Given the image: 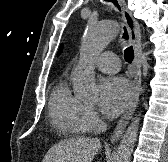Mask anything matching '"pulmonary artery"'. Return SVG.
I'll return each instance as SVG.
<instances>
[{
  "label": "pulmonary artery",
  "instance_id": "pulmonary-artery-1",
  "mask_svg": "<svg viewBox=\"0 0 168 162\" xmlns=\"http://www.w3.org/2000/svg\"><path fill=\"white\" fill-rule=\"evenodd\" d=\"M94 65L104 73H116L120 69V61L113 52H103L95 57Z\"/></svg>",
  "mask_w": 168,
  "mask_h": 162
}]
</instances>
